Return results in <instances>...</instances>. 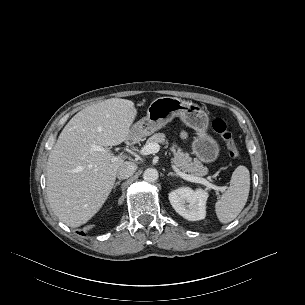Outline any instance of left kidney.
<instances>
[{
  "label": "left kidney",
  "mask_w": 305,
  "mask_h": 305,
  "mask_svg": "<svg viewBox=\"0 0 305 305\" xmlns=\"http://www.w3.org/2000/svg\"><path fill=\"white\" fill-rule=\"evenodd\" d=\"M208 193L202 189L192 190L182 187L169 193V201L174 210L189 221L202 220L206 216Z\"/></svg>",
  "instance_id": "5707ae66"
}]
</instances>
